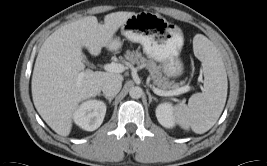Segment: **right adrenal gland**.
Wrapping results in <instances>:
<instances>
[{
    "instance_id": "obj_1",
    "label": "right adrenal gland",
    "mask_w": 267,
    "mask_h": 166,
    "mask_svg": "<svg viewBox=\"0 0 267 166\" xmlns=\"http://www.w3.org/2000/svg\"><path fill=\"white\" fill-rule=\"evenodd\" d=\"M101 96H103L105 99H107L109 104H111V102H112V100L114 98V96H106V95H101Z\"/></svg>"
}]
</instances>
